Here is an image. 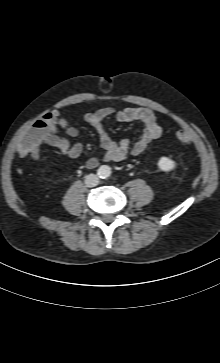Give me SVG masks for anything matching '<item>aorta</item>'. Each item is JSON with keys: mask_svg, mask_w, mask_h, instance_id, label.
Returning a JSON list of instances; mask_svg holds the SVG:
<instances>
[{"mask_svg": "<svg viewBox=\"0 0 220 363\" xmlns=\"http://www.w3.org/2000/svg\"><path fill=\"white\" fill-rule=\"evenodd\" d=\"M98 173L99 175L102 177V178H107L110 176L111 174V168L107 165H103L99 168L98 170Z\"/></svg>", "mask_w": 220, "mask_h": 363, "instance_id": "762f6f07", "label": "aorta"}]
</instances>
